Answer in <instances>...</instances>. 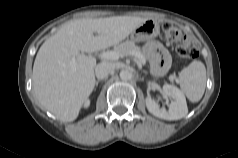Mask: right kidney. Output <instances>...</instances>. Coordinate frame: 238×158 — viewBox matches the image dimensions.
Wrapping results in <instances>:
<instances>
[{"instance_id": "1", "label": "right kidney", "mask_w": 238, "mask_h": 158, "mask_svg": "<svg viewBox=\"0 0 238 158\" xmlns=\"http://www.w3.org/2000/svg\"><path fill=\"white\" fill-rule=\"evenodd\" d=\"M89 104H90V101L87 100V101L84 103V107L87 108V107L89 106Z\"/></svg>"}]
</instances>
